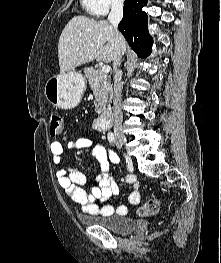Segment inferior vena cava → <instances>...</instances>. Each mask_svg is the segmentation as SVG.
Wrapping results in <instances>:
<instances>
[{"instance_id": "1", "label": "inferior vena cava", "mask_w": 221, "mask_h": 263, "mask_svg": "<svg viewBox=\"0 0 221 263\" xmlns=\"http://www.w3.org/2000/svg\"><path fill=\"white\" fill-rule=\"evenodd\" d=\"M123 5L124 0H112L111 11L108 15V21L114 27L115 30V53L113 57V69H114V93H113V121H114V135L116 138H124L122 121V107H121V92L122 87L120 84L122 73L119 69L120 62L123 54V48L125 46V40L118 31V24L123 17Z\"/></svg>"}]
</instances>
